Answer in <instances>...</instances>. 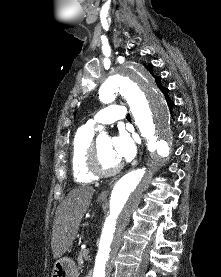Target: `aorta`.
<instances>
[{"instance_id":"762f6f07","label":"aorta","mask_w":221,"mask_h":277,"mask_svg":"<svg viewBox=\"0 0 221 277\" xmlns=\"http://www.w3.org/2000/svg\"><path fill=\"white\" fill-rule=\"evenodd\" d=\"M123 96L147 142V149L166 159L171 153L172 133L169 109L150 74L140 65L127 64L109 76L99 89L104 104ZM151 182L148 167L143 166L122 176L114 185L95 257L93 277H107L109 267L121 245L122 235L137 210L143 192Z\"/></svg>"}]
</instances>
